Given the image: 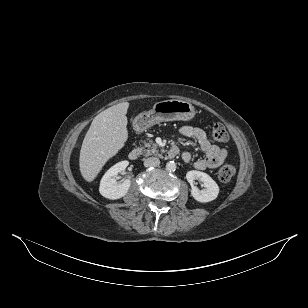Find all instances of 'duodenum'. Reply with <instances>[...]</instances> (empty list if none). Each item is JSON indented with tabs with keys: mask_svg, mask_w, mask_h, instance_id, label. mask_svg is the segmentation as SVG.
<instances>
[{
	"mask_svg": "<svg viewBox=\"0 0 308 308\" xmlns=\"http://www.w3.org/2000/svg\"><path fill=\"white\" fill-rule=\"evenodd\" d=\"M179 153V149L176 146H173L169 149L167 153L168 158H174ZM140 151L138 149H132L129 153V159L135 161L139 158Z\"/></svg>",
	"mask_w": 308,
	"mask_h": 308,
	"instance_id": "duodenum-1",
	"label": "duodenum"
}]
</instances>
